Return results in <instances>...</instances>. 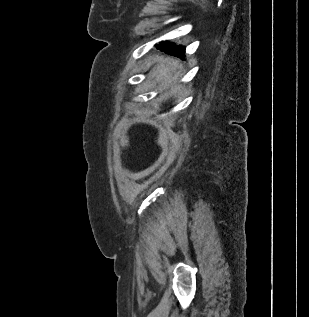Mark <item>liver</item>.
Here are the masks:
<instances>
[{
  "mask_svg": "<svg viewBox=\"0 0 309 317\" xmlns=\"http://www.w3.org/2000/svg\"><path fill=\"white\" fill-rule=\"evenodd\" d=\"M174 65L175 61L168 59L166 64L161 63L154 68L153 75H155L159 81L171 82L173 80V74L170 71Z\"/></svg>",
  "mask_w": 309,
  "mask_h": 317,
  "instance_id": "6515ba94",
  "label": "liver"
}]
</instances>
